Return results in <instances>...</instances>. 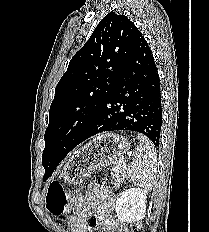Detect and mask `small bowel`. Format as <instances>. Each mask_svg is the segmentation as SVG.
I'll return each instance as SVG.
<instances>
[{
  "label": "small bowel",
  "instance_id": "1",
  "mask_svg": "<svg viewBox=\"0 0 209 232\" xmlns=\"http://www.w3.org/2000/svg\"><path fill=\"white\" fill-rule=\"evenodd\" d=\"M115 196L104 185L94 181L77 200L68 216L71 232H97L101 224L109 232H128L112 216Z\"/></svg>",
  "mask_w": 209,
  "mask_h": 232
}]
</instances>
